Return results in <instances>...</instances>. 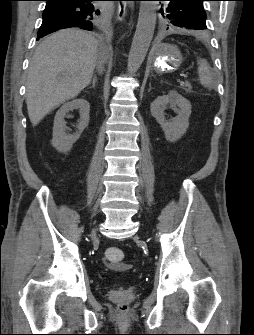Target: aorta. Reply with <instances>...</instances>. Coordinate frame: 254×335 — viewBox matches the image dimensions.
<instances>
[{
  "label": "aorta",
  "mask_w": 254,
  "mask_h": 335,
  "mask_svg": "<svg viewBox=\"0 0 254 335\" xmlns=\"http://www.w3.org/2000/svg\"><path fill=\"white\" fill-rule=\"evenodd\" d=\"M156 9L157 2L155 1H142L140 3L138 23L127 63V70L130 75L138 71L146 57L154 34Z\"/></svg>",
  "instance_id": "762f6f07"
}]
</instances>
